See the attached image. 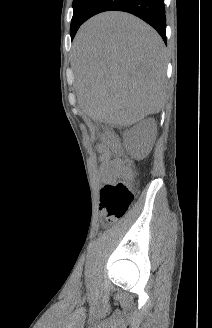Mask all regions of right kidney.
Instances as JSON below:
<instances>
[{
  "label": "right kidney",
  "instance_id": "right-kidney-1",
  "mask_svg": "<svg viewBox=\"0 0 212 328\" xmlns=\"http://www.w3.org/2000/svg\"><path fill=\"white\" fill-rule=\"evenodd\" d=\"M157 125L154 119L144 120L131 130L130 145L134 153L141 152L151 136L156 133Z\"/></svg>",
  "mask_w": 212,
  "mask_h": 328
}]
</instances>
